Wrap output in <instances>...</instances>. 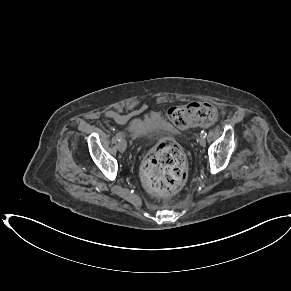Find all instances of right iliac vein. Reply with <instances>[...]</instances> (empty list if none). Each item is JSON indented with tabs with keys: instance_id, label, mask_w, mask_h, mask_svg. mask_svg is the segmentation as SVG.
Here are the masks:
<instances>
[{
	"instance_id": "obj_1",
	"label": "right iliac vein",
	"mask_w": 291,
	"mask_h": 291,
	"mask_svg": "<svg viewBox=\"0 0 291 291\" xmlns=\"http://www.w3.org/2000/svg\"><path fill=\"white\" fill-rule=\"evenodd\" d=\"M126 148H127L126 140L125 139L120 140L119 143H118V150L121 153H123V152H125Z\"/></svg>"
}]
</instances>
